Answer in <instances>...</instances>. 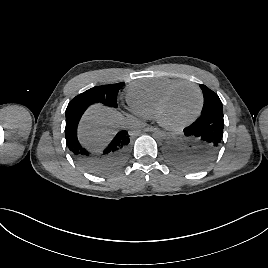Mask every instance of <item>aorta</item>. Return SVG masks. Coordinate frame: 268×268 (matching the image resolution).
<instances>
[{"label":"aorta","mask_w":268,"mask_h":268,"mask_svg":"<svg viewBox=\"0 0 268 268\" xmlns=\"http://www.w3.org/2000/svg\"><path fill=\"white\" fill-rule=\"evenodd\" d=\"M153 136L156 140H163L167 137V134L162 130H157L153 133Z\"/></svg>","instance_id":"obj_1"}]
</instances>
